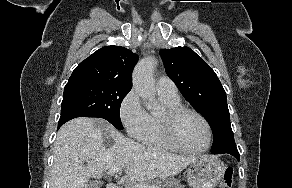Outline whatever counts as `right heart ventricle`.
<instances>
[{"instance_id": "e07e8e85", "label": "right heart ventricle", "mask_w": 292, "mask_h": 188, "mask_svg": "<svg viewBox=\"0 0 292 188\" xmlns=\"http://www.w3.org/2000/svg\"><path fill=\"white\" fill-rule=\"evenodd\" d=\"M159 97L166 108H173L182 106L179 97H168L162 94H159ZM160 115L161 113L151 112L148 113L147 125L142 135L140 136V140L149 146L164 148V149H176L172 146L165 136L160 127Z\"/></svg>"}]
</instances>
